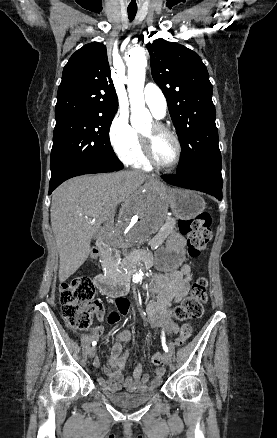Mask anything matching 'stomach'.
<instances>
[{
  "instance_id": "obj_1",
  "label": "stomach",
  "mask_w": 277,
  "mask_h": 438,
  "mask_svg": "<svg viewBox=\"0 0 277 438\" xmlns=\"http://www.w3.org/2000/svg\"><path fill=\"white\" fill-rule=\"evenodd\" d=\"M167 198L173 214L179 220L195 218L206 207L204 199L191 190H167ZM185 243V238L179 233L173 232L169 235L166 246L156 253L157 268L162 271H172L181 266L185 259Z\"/></svg>"
}]
</instances>
